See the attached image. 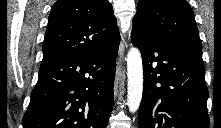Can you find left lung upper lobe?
<instances>
[{"mask_svg":"<svg viewBox=\"0 0 221 128\" xmlns=\"http://www.w3.org/2000/svg\"><path fill=\"white\" fill-rule=\"evenodd\" d=\"M132 32L169 40L202 56L198 28L186 0H139Z\"/></svg>","mask_w":221,"mask_h":128,"instance_id":"5c2ea615","label":"left lung upper lobe"}]
</instances>
